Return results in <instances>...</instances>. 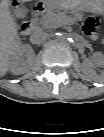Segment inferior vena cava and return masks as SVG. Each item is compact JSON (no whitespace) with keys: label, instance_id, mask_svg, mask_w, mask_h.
Here are the masks:
<instances>
[{"label":"inferior vena cava","instance_id":"obj_1","mask_svg":"<svg viewBox=\"0 0 104 137\" xmlns=\"http://www.w3.org/2000/svg\"><path fill=\"white\" fill-rule=\"evenodd\" d=\"M48 38V34L42 30H35L30 36V41L33 44L43 43Z\"/></svg>","mask_w":104,"mask_h":137}]
</instances>
